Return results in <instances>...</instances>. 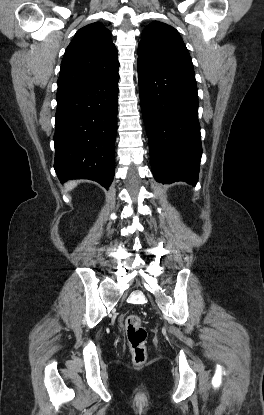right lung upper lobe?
<instances>
[{
	"label": "right lung upper lobe",
	"mask_w": 264,
	"mask_h": 415,
	"mask_svg": "<svg viewBox=\"0 0 264 415\" xmlns=\"http://www.w3.org/2000/svg\"><path fill=\"white\" fill-rule=\"evenodd\" d=\"M117 49L111 32L95 22L77 31L61 62L58 90L111 78L118 73Z\"/></svg>",
	"instance_id": "cb5924a9"
}]
</instances>
